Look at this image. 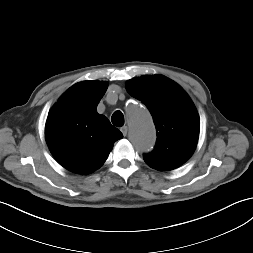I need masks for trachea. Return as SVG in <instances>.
Instances as JSON below:
<instances>
[{"label":"trachea","instance_id":"1","mask_svg":"<svg viewBox=\"0 0 253 253\" xmlns=\"http://www.w3.org/2000/svg\"><path fill=\"white\" fill-rule=\"evenodd\" d=\"M113 125L120 127L124 125V115L121 111H115L111 117Z\"/></svg>","mask_w":253,"mask_h":253}]
</instances>
